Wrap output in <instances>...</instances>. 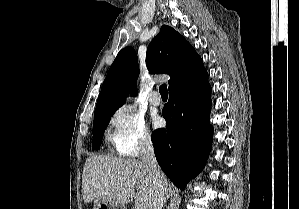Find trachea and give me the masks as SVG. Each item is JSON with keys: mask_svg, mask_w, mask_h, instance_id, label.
<instances>
[{"mask_svg": "<svg viewBox=\"0 0 299 209\" xmlns=\"http://www.w3.org/2000/svg\"><path fill=\"white\" fill-rule=\"evenodd\" d=\"M159 92L161 96H168L167 85L163 84L159 87Z\"/></svg>", "mask_w": 299, "mask_h": 209, "instance_id": "1", "label": "trachea"}]
</instances>
